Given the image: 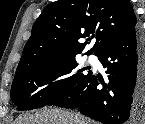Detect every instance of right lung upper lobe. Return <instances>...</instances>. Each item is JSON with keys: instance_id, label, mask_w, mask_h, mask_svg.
I'll return each instance as SVG.
<instances>
[{"instance_id": "1", "label": "right lung upper lobe", "mask_w": 145, "mask_h": 124, "mask_svg": "<svg viewBox=\"0 0 145 124\" xmlns=\"http://www.w3.org/2000/svg\"><path fill=\"white\" fill-rule=\"evenodd\" d=\"M136 25L130 0L52 2L32 27L15 77L40 62L76 56L93 38L96 42L86 54L95 52L96 55L107 43L127 34Z\"/></svg>"}]
</instances>
